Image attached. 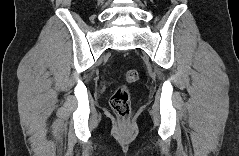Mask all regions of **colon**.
Segmentation results:
<instances>
[{
  "instance_id": "colon-1",
  "label": "colon",
  "mask_w": 239,
  "mask_h": 156,
  "mask_svg": "<svg viewBox=\"0 0 239 156\" xmlns=\"http://www.w3.org/2000/svg\"><path fill=\"white\" fill-rule=\"evenodd\" d=\"M139 78L136 70H127L124 73V80L129 83L136 82ZM112 110L120 117L125 118L131 109V99L128 89L124 86L118 87L110 98Z\"/></svg>"
}]
</instances>
